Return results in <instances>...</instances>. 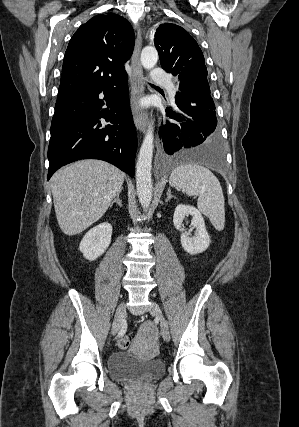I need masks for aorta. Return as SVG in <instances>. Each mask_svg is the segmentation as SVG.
<instances>
[{
    "mask_svg": "<svg viewBox=\"0 0 299 427\" xmlns=\"http://www.w3.org/2000/svg\"><path fill=\"white\" fill-rule=\"evenodd\" d=\"M158 61V52L154 47H145L141 53L142 66L150 70ZM153 122L149 124L136 163V187L139 202L146 211L151 203L153 186L151 178L152 157L154 149Z\"/></svg>",
    "mask_w": 299,
    "mask_h": 427,
    "instance_id": "762f6f07",
    "label": "aorta"
}]
</instances>
